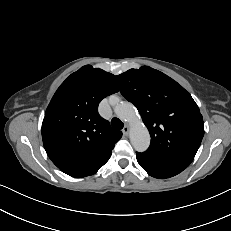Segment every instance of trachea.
<instances>
[{
  "label": "trachea",
  "instance_id": "trachea-1",
  "mask_svg": "<svg viewBox=\"0 0 231 231\" xmlns=\"http://www.w3.org/2000/svg\"><path fill=\"white\" fill-rule=\"evenodd\" d=\"M111 125H112L113 128H115V129H122V128L124 127L123 122H122L120 119L116 118V117H114V118L111 120Z\"/></svg>",
  "mask_w": 231,
  "mask_h": 231
}]
</instances>
